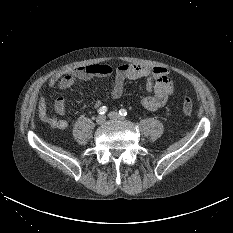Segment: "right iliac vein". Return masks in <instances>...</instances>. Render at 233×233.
<instances>
[{
	"instance_id": "obj_1",
	"label": "right iliac vein",
	"mask_w": 233,
	"mask_h": 233,
	"mask_svg": "<svg viewBox=\"0 0 233 233\" xmlns=\"http://www.w3.org/2000/svg\"><path fill=\"white\" fill-rule=\"evenodd\" d=\"M105 120H106V117L103 116V115H100V116L97 117L96 123L101 125V124H103L105 122Z\"/></svg>"
}]
</instances>
